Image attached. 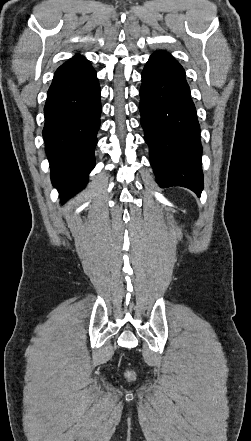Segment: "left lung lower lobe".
I'll use <instances>...</instances> for the list:
<instances>
[{
  "mask_svg": "<svg viewBox=\"0 0 251 441\" xmlns=\"http://www.w3.org/2000/svg\"><path fill=\"white\" fill-rule=\"evenodd\" d=\"M141 125L160 187L203 189L200 126L183 67L166 51L153 53L141 74Z\"/></svg>",
  "mask_w": 251,
  "mask_h": 441,
  "instance_id": "obj_1",
  "label": "left lung lower lobe"
}]
</instances>
